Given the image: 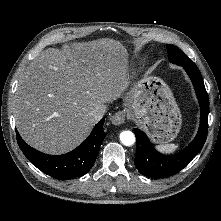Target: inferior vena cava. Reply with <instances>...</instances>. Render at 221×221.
Instances as JSON below:
<instances>
[{
    "label": "inferior vena cava",
    "instance_id": "1",
    "mask_svg": "<svg viewBox=\"0 0 221 221\" xmlns=\"http://www.w3.org/2000/svg\"><path fill=\"white\" fill-rule=\"evenodd\" d=\"M106 112V106H100L95 108L91 113V117L95 120V121H99L104 113Z\"/></svg>",
    "mask_w": 221,
    "mask_h": 221
}]
</instances>
